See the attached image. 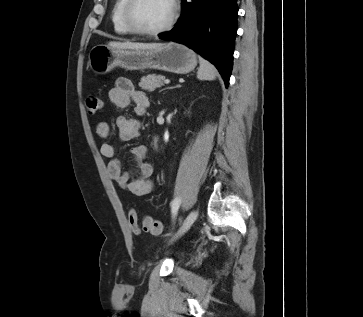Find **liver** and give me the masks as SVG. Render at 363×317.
<instances>
[{"mask_svg": "<svg viewBox=\"0 0 363 317\" xmlns=\"http://www.w3.org/2000/svg\"><path fill=\"white\" fill-rule=\"evenodd\" d=\"M163 44L161 43H139V42H116L111 41L108 43V47L112 49H155Z\"/></svg>", "mask_w": 363, "mask_h": 317, "instance_id": "6515ba94", "label": "liver"}]
</instances>
